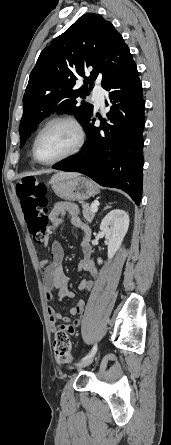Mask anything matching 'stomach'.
I'll return each instance as SVG.
<instances>
[{
	"label": "stomach",
	"mask_w": 171,
	"mask_h": 445,
	"mask_svg": "<svg viewBox=\"0 0 171 445\" xmlns=\"http://www.w3.org/2000/svg\"><path fill=\"white\" fill-rule=\"evenodd\" d=\"M50 183L54 193L67 201H84L99 193L94 182L79 175L54 176Z\"/></svg>",
	"instance_id": "obj_1"
}]
</instances>
